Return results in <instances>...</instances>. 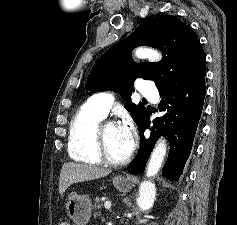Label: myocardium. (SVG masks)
<instances>
[{"mask_svg": "<svg viewBox=\"0 0 237 225\" xmlns=\"http://www.w3.org/2000/svg\"><path fill=\"white\" fill-rule=\"evenodd\" d=\"M109 126H116V123L110 120H102L95 128L94 138H95L97 154L99 158L101 159V161L107 165L114 166V167L125 165L130 159L129 155L122 160H113L112 158L109 157L107 153L104 135H105V130Z\"/></svg>", "mask_w": 237, "mask_h": 225, "instance_id": "f54148a6", "label": "myocardium"}]
</instances>
